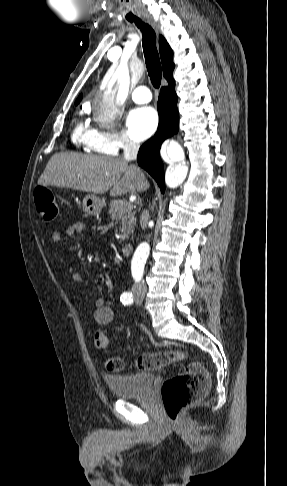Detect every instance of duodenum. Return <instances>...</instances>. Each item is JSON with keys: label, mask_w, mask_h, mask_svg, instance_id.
Returning <instances> with one entry per match:
<instances>
[{"label": "duodenum", "mask_w": 287, "mask_h": 486, "mask_svg": "<svg viewBox=\"0 0 287 486\" xmlns=\"http://www.w3.org/2000/svg\"><path fill=\"white\" fill-rule=\"evenodd\" d=\"M133 250V245L132 243L128 242V243H125L122 247H121V254L123 256H128L131 254Z\"/></svg>", "instance_id": "obj_1"}]
</instances>
